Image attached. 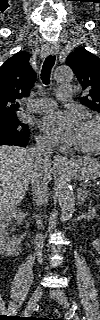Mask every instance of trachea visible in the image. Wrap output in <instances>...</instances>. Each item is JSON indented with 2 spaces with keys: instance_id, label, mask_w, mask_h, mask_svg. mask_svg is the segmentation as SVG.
Instances as JSON below:
<instances>
[{
  "instance_id": "trachea-1",
  "label": "trachea",
  "mask_w": 100,
  "mask_h": 320,
  "mask_svg": "<svg viewBox=\"0 0 100 320\" xmlns=\"http://www.w3.org/2000/svg\"><path fill=\"white\" fill-rule=\"evenodd\" d=\"M55 63V56L49 55L42 66L41 70V80L45 85H48L50 83V74L51 69L54 66Z\"/></svg>"
}]
</instances>
